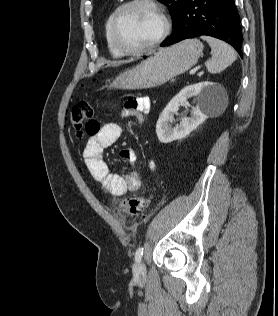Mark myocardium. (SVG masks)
Instances as JSON below:
<instances>
[{
	"mask_svg": "<svg viewBox=\"0 0 278 316\" xmlns=\"http://www.w3.org/2000/svg\"><path fill=\"white\" fill-rule=\"evenodd\" d=\"M139 4H145L150 6L159 16L161 20V31L159 35L149 44L140 47V48H129L121 41L119 36V21L122 17V15L131 7ZM171 30V21L163 8V6L157 2L156 0H130L123 4H121L118 9L115 11L112 21H111V34L112 39L116 47L124 54L126 55H141L144 54L155 47H157L159 44H161L165 38L168 36L169 32Z\"/></svg>",
	"mask_w": 278,
	"mask_h": 316,
	"instance_id": "f54148a6",
	"label": "myocardium"
}]
</instances>
